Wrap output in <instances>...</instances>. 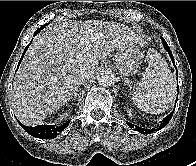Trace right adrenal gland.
Wrapping results in <instances>:
<instances>
[{
  "mask_svg": "<svg viewBox=\"0 0 196 166\" xmlns=\"http://www.w3.org/2000/svg\"><path fill=\"white\" fill-rule=\"evenodd\" d=\"M78 91H79V88L76 87L73 96L70 97L69 100H75L77 98V96H78Z\"/></svg>",
  "mask_w": 196,
  "mask_h": 166,
  "instance_id": "obj_1",
  "label": "right adrenal gland"
}]
</instances>
